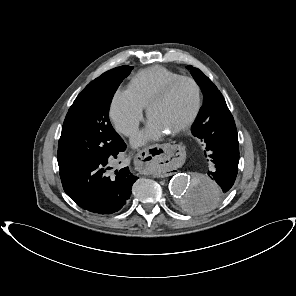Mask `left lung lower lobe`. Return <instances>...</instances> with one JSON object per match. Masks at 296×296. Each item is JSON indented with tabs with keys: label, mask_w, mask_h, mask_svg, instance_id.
Wrapping results in <instances>:
<instances>
[{
	"label": "left lung lower lobe",
	"mask_w": 296,
	"mask_h": 296,
	"mask_svg": "<svg viewBox=\"0 0 296 296\" xmlns=\"http://www.w3.org/2000/svg\"><path fill=\"white\" fill-rule=\"evenodd\" d=\"M198 134L205 145L204 154L213 163L214 169L208 176L218 187L205 185L202 193L193 189L189 207L206 210L222 200L232 188L239 163V142L236 125L226 103L217 108L209 119L201 125Z\"/></svg>",
	"instance_id": "1"
}]
</instances>
